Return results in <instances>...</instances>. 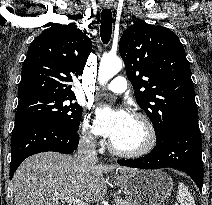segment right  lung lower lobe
<instances>
[{
	"label": "right lung lower lobe",
	"instance_id": "right-lung-lower-lobe-1",
	"mask_svg": "<svg viewBox=\"0 0 212 205\" xmlns=\"http://www.w3.org/2000/svg\"><path fill=\"white\" fill-rule=\"evenodd\" d=\"M79 135L49 120H28L15 125L12 135L10 179L27 157L40 152L69 154L77 149Z\"/></svg>",
	"mask_w": 212,
	"mask_h": 205
}]
</instances>
